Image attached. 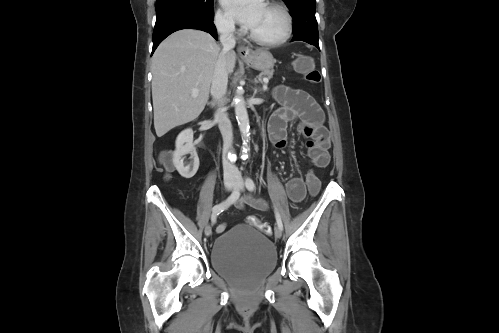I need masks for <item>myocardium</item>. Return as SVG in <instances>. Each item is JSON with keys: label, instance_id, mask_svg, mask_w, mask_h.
<instances>
[{"label": "myocardium", "instance_id": "myocardium-1", "mask_svg": "<svg viewBox=\"0 0 499 333\" xmlns=\"http://www.w3.org/2000/svg\"><path fill=\"white\" fill-rule=\"evenodd\" d=\"M267 6L278 9L284 16L285 20V30L281 37L275 40H264L257 37L251 30H249L248 35L252 41L262 46H278L285 43L291 36L293 30V20L288 8L282 3L271 1L267 3Z\"/></svg>", "mask_w": 499, "mask_h": 333}]
</instances>
